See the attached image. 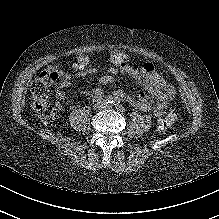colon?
<instances>
[{
  "label": "colon",
  "instance_id": "1",
  "mask_svg": "<svg viewBox=\"0 0 219 219\" xmlns=\"http://www.w3.org/2000/svg\"><path fill=\"white\" fill-rule=\"evenodd\" d=\"M57 79L58 72L48 68L43 70L30 85L33 109L37 117L44 123H50L56 115V111L49 102V98L51 87ZM175 119V114L172 111L169 112L160 122V131H167L174 124Z\"/></svg>",
  "mask_w": 219,
  "mask_h": 219
}]
</instances>
